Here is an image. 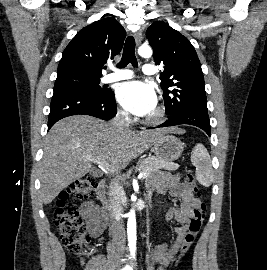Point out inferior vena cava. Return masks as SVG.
I'll return each mask as SVG.
<instances>
[{
  "instance_id": "inferior-vena-cava-1",
  "label": "inferior vena cava",
  "mask_w": 267,
  "mask_h": 270,
  "mask_svg": "<svg viewBox=\"0 0 267 270\" xmlns=\"http://www.w3.org/2000/svg\"><path fill=\"white\" fill-rule=\"evenodd\" d=\"M111 123L119 132L129 130L130 120L127 113L117 114ZM108 199L113 239L117 249L122 252L125 249V228L122 220L124 190L117 180L109 185ZM121 257L122 254H119L118 258Z\"/></svg>"
}]
</instances>
